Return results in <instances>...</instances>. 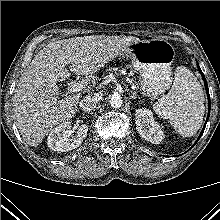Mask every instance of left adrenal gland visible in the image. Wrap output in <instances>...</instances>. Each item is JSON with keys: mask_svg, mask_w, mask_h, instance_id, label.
I'll return each instance as SVG.
<instances>
[{"mask_svg": "<svg viewBox=\"0 0 220 220\" xmlns=\"http://www.w3.org/2000/svg\"><path fill=\"white\" fill-rule=\"evenodd\" d=\"M131 93H132V98L133 99H136L137 97H139L136 92L131 91Z\"/></svg>", "mask_w": 220, "mask_h": 220, "instance_id": "a2214340", "label": "left adrenal gland"}]
</instances>
